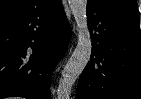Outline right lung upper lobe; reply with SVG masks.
Listing matches in <instances>:
<instances>
[{
    "mask_svg": "<svg viewBox=\"0 0 141 99\" xmlns=\"http://www.w3.org/2000/svg\"><path fill=\"white\" fill-rule=\"evenodd\" d=\"M40 0H0V17L11 12L34 7Z\"/></svg>",
    "mask_w": 141,
    "mask_h": 99,
    "instance_id": "cb5924a9",
    "label": "right lung upper lobe"
}]
</instances>
